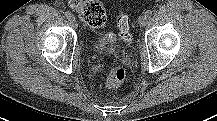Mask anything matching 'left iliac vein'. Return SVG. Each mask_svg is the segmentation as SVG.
Segmentation results:
<instances>
[{
  "label": "left iliac vein",
  "mask_w": 217,
  "mask_h": 121,
  "mask_svg": "<svg viewBox=\"0 0 217 121\" xmlns=\"http://www.w3.org/2000/svg\"><path fill=\"white\" fill-rule=\"evenodd\" d=\"M148 23V16L146 14L139 17V25L144 27Z\"/></svg>",
  "instance_id": "obj_1"
}]
</instances>
